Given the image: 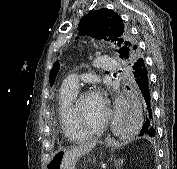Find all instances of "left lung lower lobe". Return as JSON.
Listing matches in <instances>:
<instances>
[{
	"instance_id": "obj_1",
	"label": "left lung lower lobe",
	"mask_w": 177,
	"mask_h": 169,
	"mask_svg": "<svg viewBox=\"0 0 177 169\" xmlns=\"http://www.w3.org/2000/svg\"><path fill=\"white\" fill-rule=\"evenodd\" d=\"M133 49H135V46L133 47ZM128 66L132 72L134 81L136 83V91L139 100L141 101L144 107V113H145L144 124L139 133V136L154 137L156 132H155L154 121H153L148 70L146 67L145 60L142 57H138L131 64L128 63Z\"/></svg>"
}]
</instances>
